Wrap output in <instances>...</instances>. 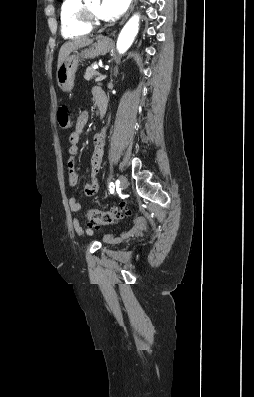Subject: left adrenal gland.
<instances>
[{
    "mask_svg": "<svg viewBox=\"0 0 254 397\" xmlns=\"http://www.w3.org/2000/svg\"><path fill=\"white\" fill-rule=\"evenodd\" d=\"M115 77L118 75V68L117 67H115V69H114V74H113Z\"/></svg>",
    "mask_w": 254,
    "mask_h": 397,
    "instance_id": "left-adrenal-gland-1",
    "label": "left adrenal gland"
}]
</instances>
